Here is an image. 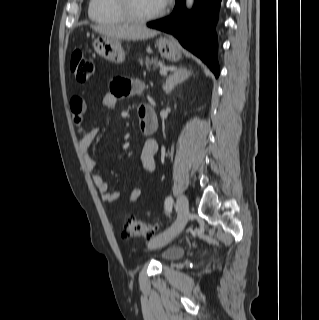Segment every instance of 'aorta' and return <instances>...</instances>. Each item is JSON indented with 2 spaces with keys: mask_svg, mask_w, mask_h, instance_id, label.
<instances>
[{
  "mask_svg": "<svg viewBox=\"0 0 319 320\" xmlns=\"http://www.w3.org/2000/svg\"><path fill=\"white\" fill-rule=\"evenodd\" d=\"M194 0H186L187 8H191L193 6Z\"/></svg>",
  "mask_w": 319,
  "mask_h": 320,
  "instance_id": "1",
  "label": "aorta"
}]
</instances>
